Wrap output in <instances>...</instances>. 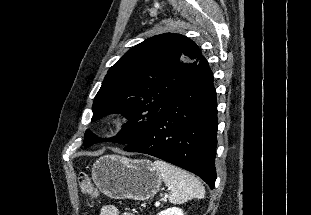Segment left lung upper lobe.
<instances>
[{"label": "left lung upper lobe", "instance_id": "1", "mask_svg": "<svg viewBox=\"0 0 311 215\" xmlns=\"http://www.w3.org/2000/svg\"><path fill=\"white\" fill-rule=\"evenodd\" d=\"M202 57L189 38L164 33L127 51L108 71L93 102L96 121L111 113L128 118L117 136L101 139L87 130L84 146L101 141L130 144L159 110L185 85Z\"/></svg>", "mask_w": 311, "mask_h": 215}]
</instances>
